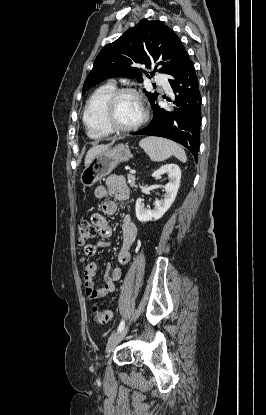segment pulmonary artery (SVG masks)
Wrapping results in <instances>:
<instances>
[{
    "label": "pulmonary artery",
    "instance_id": "e3ab8cb5",
    "mask_svg": "<svg viewBox=\"0 0 266 415\" xmlns=\"http://www.w3.org/2000/svg\"><path fill=\"white\" fill-rule=\"evenodd\" d=\"M155 80L158 84H160L161 86H163L166 90H170V86L169 83L167 82V80L165 79V77H163L162 75L158 74L155 77Z\"/></svg>",
    "mask_w": 266,
    "mask_h": 415
}]
</instances>
